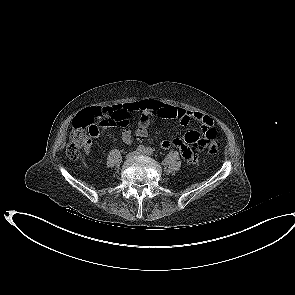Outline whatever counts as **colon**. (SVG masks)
Masks as SVG:
<instances>
[{
    "instance_id": "obj_1",
    "label": "colon",
    "mask_w": 295,
    "mask_h": 295,
    "mask_svg": "<svg viewBox=\"0 0 295 295\" xmlns=\"http://www.w3.org/2000/svg\"><path fill=\"white\" fill-rule=\"evenodd\" d=\"M110 116L111 109L109 107L97 108L78 115L72 123V130L66 148L67 156L72 160L78 159L81 155V150L88 147L91 140L98 134L96 120L100 121L101 118ZM126 123L127 121H124L121 125H126ZM203 132L209 152L212 154L216 153L218 151V133L216 129L213 127H205L203 128Z\"/></svg>"
}]
</instances>
